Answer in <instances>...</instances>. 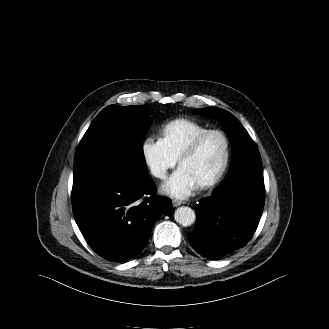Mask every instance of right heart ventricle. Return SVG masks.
Segmentation results:
<instances>
[{
    "instance_id": "1",
    "label": "right heart ventricle",
    "mask_w": 329,
    "mask_h": 329,
    "mask_svg": "<svg viewBox=\"0 0 329 329\" xmlns=\"http://www.w3.org/2000/svg\"><path fill=\"white\" fill-rule=\"evenodd\" d=\"M207 128L195 121L179 118L165 124L160 139L171 154L178 159L187 145Z\"/></svg>"
}]
</instances>
